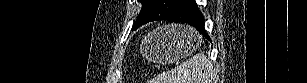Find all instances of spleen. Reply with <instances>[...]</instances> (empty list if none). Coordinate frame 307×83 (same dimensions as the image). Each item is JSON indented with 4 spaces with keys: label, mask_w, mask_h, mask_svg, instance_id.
<instances>
[{
    "label": "spleen",
    "mask_w": 307,
    "mask_h": 83,
    "mask_svg": "<svg viewBox=\"0 0 307 83\" xmlns=\"http://www.w3.org/2000/svg\"><path fill=\"white\" fill-rule=\"evenodd\" d=\"M214 74L212 62L204 53H199L160 73L150 83H212Z\"/></svg>",
    "instance_id": "spleen-1"
}]
</instances>
